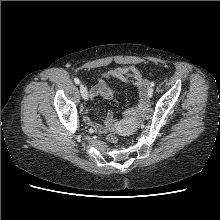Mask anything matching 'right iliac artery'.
Here are the masks:
<instances>
[{
    "instance_id": "1",
    "label": "right iliac artery",
    "mask_w": 220,
    "mask_h": 220,
    "mask_svg": "<svg viewBox=\"0 0 220 220\" xmlns=\"http://www.w3.org/2000/svg\"><path fill=\"white\" fill-rule=\"evenodd\" d=\"M74 82L78 85L80 84V80L78 78H74Z\"/></svg>"
}]
</instances>
